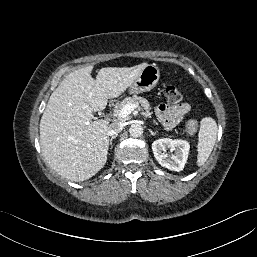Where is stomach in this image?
I'll use <instances>...</instances> for the list:
<instances>
[{"mask_svg": "<svg viewBox=\"0 0 257 257\" xmlns=\"http://www.w3.org/2000/svg\"><path fill=\"white\" fill-rule=\"evenodd\" d=\"M160 78V70L155 64H148L129 86L131 93H142L153 89Z\"/></svg>", "mask_w": 257, "mask_h": 257, "instance_id": "stomach-1", "label": "stomach"}]
</instances>
